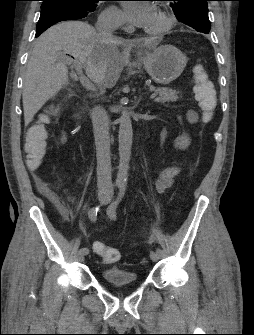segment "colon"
<instances>
[{
  "label": "colon",
  "mask_w": 254,
  "mask_h": 335,
  "mask_svg": "<svg viewBox=\"0 0 254 335\" xmlns=\"http://www.w3.org/2000/svg\"><path fill=\"white\" fill-rule=\"evenodd\" d=\"M193 90L196 100L201 108L204 121H210L217 108L216 91L213 83L202 66L197 65L194 68ZM46 118L35 124L29 131V141L26 142V158L24 163L27 172H42L45 163V151L47 146L44 140L47 134ZM99 255L107 262L114 263L120 259V253L113 247L97 248Z\"/></svg>",
  "instance_id": "1"
}]
</instances>
